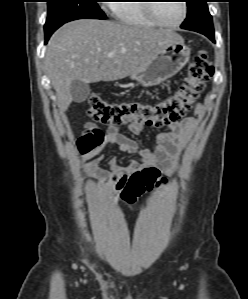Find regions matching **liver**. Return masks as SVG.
I'll return each instance as SVG.
<instances>
[{"label": "liver", "instance_id": "liver-1", "mask_svg": "<svg viewBox=\"0 0 248 299\" xmlns=\"http://www.w3.org/2000/svg\"><path fill=\"white\" fill-rule=\"evenodd\" d=\"M175 42L183 39L170 29L95 19L66 23L51 36L45 56L59 111L65 112L73 101V81L89 84L125 78L141 71Z\"/></svg>", "mask_w": 248, "mask_h": 299}]
</instances>
